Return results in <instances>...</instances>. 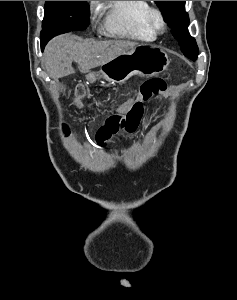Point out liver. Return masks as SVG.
Segmentation results:
<instances>
[{
    "label": "liver",
    "mask_w": 237,
    "mask_h": 300,
    "mask_svg": "<svg viewBox=\"0 0 237 300\" xmlns=\"http://www.w3.org/2000/svg\"><path fill=\"white\" fill-rule=\"evenodd\" d=\"M138 43L132 41H90L80 37L61 35L48 43L44 61L48 73L54 79L67 77L75 73L72 61L79 65L81 73H89L90 69L105 65L117 55L134 49Z\"/></svg>",
    "instance_id": "6515ba94"
}]
</instances>
